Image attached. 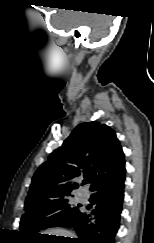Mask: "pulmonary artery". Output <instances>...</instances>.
Returning <instances> with one entry per match:
<instances>
[{
  "instance_id": "obj_1",
  "label": "pulmonary artery",
  "mask_w": 154,
  "mask_h": 243,
  "mask_svg": "<svg viewBox=\"0 0 154 243\" xmlns=\"http://www.w3.org/2000/svg\"><path fill=\"white\" fill-rule=\"evenodd\" d=\"M85 198H86V195H83V196H82V199H85Z\"/></svg>"
}]
</instances>
